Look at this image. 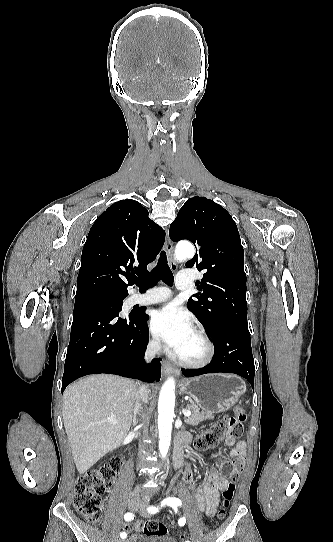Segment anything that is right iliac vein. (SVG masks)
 Segmentation results:
<instances>
[{
    "instance_id": "right-iliac-vein-1",
    "label": "right iliac vein",
    "mask_w": 333,
    "mask_h": 542,
    "mask_svg": "<svg viewBox=\"0 0 333 542\" xmlns=\"http://www.w3.org/2000/svg\"><path fill=\"white\" fill-rule=\"evenodd\" d=\"M129 500H130V502L128 503L129 510L136 511L140 506L139 494H137V493L132 494V496L129 498ZM122 542H128V540H124Z\"/></svg>"
}]
</instances>
